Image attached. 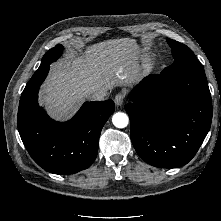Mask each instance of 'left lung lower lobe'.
<instances>
[{
	"mask_svg": "<svg viewBox=\"0 0 221 221\" xmlns=\"http://www.w3.org/2000/svg\"><path fill=\"white\" fill-rule=\"evenodd\" d=\"M131 141L148 164L176 168L187 164L203 143L212 121V100L197 58L183 59L149 75L125 105Z\"/></svg>",
	"mask_w": 221,
	"mask_h": 221,
	"instance_id": "0a47b994",
	"label": "left lung lower lobe"
}]
</instances>
